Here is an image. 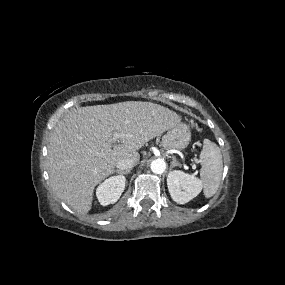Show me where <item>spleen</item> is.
Instances as JSON below:
<instances>
[{"label": "spleen", "mask_w": 285, "mask_h": 285, "mask_svg": "<svg viewBox=\"0 0 285 285\" xmlns=\"http://www.w3.org/2000/svg\"><path fill=\"white\" fill-rule=\"evenodd\" d=\"M199 162L202 165L200 178L203 192L206 198H210L217 192L222 177L223 161L220 148L214 142L205 139Z\"/></svg>", "instance_id": "3e777b00"}]
</instances>
